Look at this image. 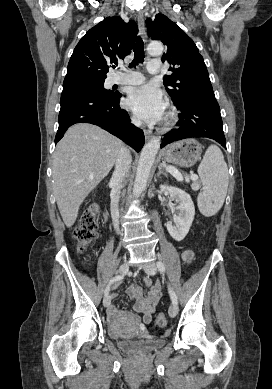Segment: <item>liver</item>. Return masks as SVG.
Returning <instances> with one entry per match:
<instances>
[{"label": "liver", "instance_id": "1", "mask_svg": "<svg viewBox=\"0 0 272 389\" xmlns=\"http://www.w3.org/2000/svg\"><path fill=\"white\" fill-rule=\"evenodd\" d=\"M122 142L91 124L70 127L53 155V192L67 227L75 223L79 207L112 169Z\"/></svg>", "mask_w": 272, "mask_h": 389}]
</instances>
